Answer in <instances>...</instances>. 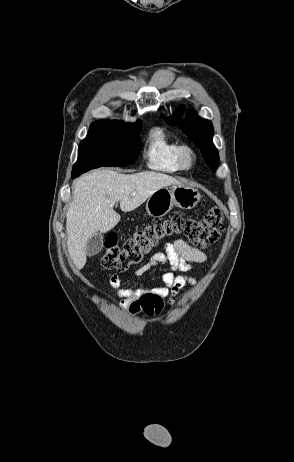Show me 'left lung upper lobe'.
Returning a JSON list of instances; mask_svg holds the SVG:
<instances>
[{
  "mask_svg": "<svg viewBox=\"0 0 294 462\" xmlns=\"http://www.w3.org/2000/svg\"><path fill=\"white\" fill-rule=\"evenodd\" d=\"M184 108L180 107L173 118H167L170 125H178L180 129L199 147L204 159L212 170L219 165V154L212 143L213 126L211 122L189 111L186 118L181 121Z\"/></svg>",
  "mask_w": 294,
  "mask_h": 462,
  "instance_id": "5c2ea615",
  "label": "left lung upper lobe"
}]
</instances>
